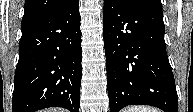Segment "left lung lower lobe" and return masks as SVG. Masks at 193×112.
Instances as JSON below:
<instances>
[{
	"instance_id": "1",
	"label": "left lung lower lobe",
	"mask_w": 193,
	"mask_h": 112,
	"mask_svg": "<svg viewBox=\"0 0 193 112\" xmlns=\"http://www.w3.org/2000/svg\"><path fill=\"white\" fill-rule=\"evenodd\" d=\"M104 1L110 112L135 104L178 112L175 80L164 41L162 4Z\"/></svg>"
}]
</instances>
